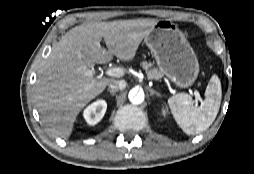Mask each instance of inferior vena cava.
Listing matches in <instances>:
<instances>
[{
	"label": "inferior vena cava",
	"instance_id": "602c4592",
	"mask_svg": "<svg viewBox=\"0 0 254 174\" xmlns=\"http://www.w3.org/2000/svg\"><path fill=\"white\" fill-rule=\"evenodd\" d=\"M109 89L115 92L122 90L126 87V81L124 80H113L109 84Z\"/></svg>",
	"mask_w": 254,
	"mask_h": 174
}]
</instances>
